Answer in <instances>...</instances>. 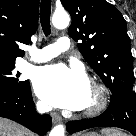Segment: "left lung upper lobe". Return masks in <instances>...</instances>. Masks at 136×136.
Returning a JSON list of instances; mask_svg holds the SVG:
<instances>
[{
    "instance_id": "5c2ea615",
    "label": "left lung upper lobe",
    "mask_w": 136,
    "mask_h": 136,
    "mask_svg": "<svg viewBox=\"0 0 136 136\" xmlns=\"http://www.w3.org/2000/svg\"><path fill=\"white\" fill-rule=\"evenodd\" d=\"M70 37L111 93L133 90V57L123 15L106 0H61Z\"/></svg>"
}]
</instances>
